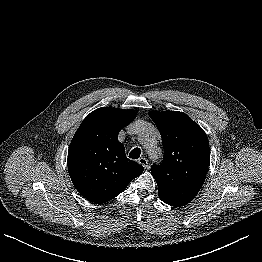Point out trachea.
<instances>
[{
	"instance_id": "3493384b",
	"label": "trachea",
	"mask_w": 262,
	"mask_h": 262,
	"mask_svg": "<svg viewBox=\"0 0 262 262\" xmlns=\"http://www.w3.org/2000/svg\"><path fill=\"white\" fill-rule=\"evenodd\" d=\"M141 150L140 148H134L130 153H129V158L132 159H138L140 157Z\"/></svg>"
}]
</instances>
